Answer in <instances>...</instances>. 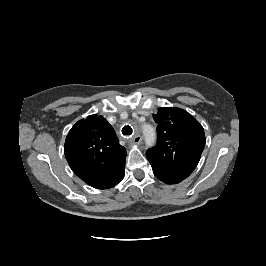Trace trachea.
I'll use <instances>...</instances> for the list:
<instances>
[{"label": "trachea", "mask_w": 266, "mask_h": 266, "mask_svg": "<svg viewBox=\"0 0 266 266\" xmlns=\"http://www.w3.org/2000/svg\"><path fill=\"white\" fill-rule=\"evenodd\" d=\"M133 132L132 128L129 126V125H125L123 128H122V134L123 135H126V136H129L131 135Z\"/></svg>", "instance_id": "trachea-1"}]
</instances>
